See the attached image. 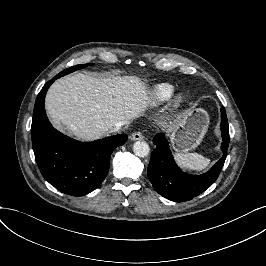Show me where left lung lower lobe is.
Listing matches in <instances>:
<instances>
[{"label":"left lung lower lobe","mask_w":266,"mask_h":266,"mask_svg":"<svg viewBox=\"0 0 266 266\" xmlns=\"http://www.w3.org/2000/svg\"><path fill=\"white\" fill-rule=\"evenodd\" d=\"M222 158L206 173L191 175L183 172L174 162L168 142L163 133L157 134L153 143L156 148L148 165V178L156 191L166 199L184 202L208 189L218 178L224 165L229 144V127L225 108H221Z\"/></svg>","instance_id":"0a47b994"}]
</instances>
